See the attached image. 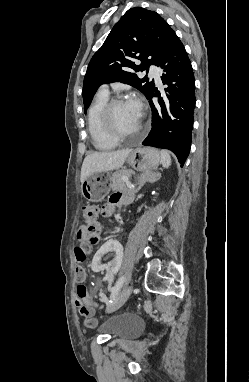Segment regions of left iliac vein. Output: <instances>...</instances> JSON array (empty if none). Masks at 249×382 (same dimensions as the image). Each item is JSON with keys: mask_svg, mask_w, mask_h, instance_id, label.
I'll use <instances>...</instances> for the list:
<instances>
[{"mask_svg": "<svg viewBox=\"0 0 249 382\" xmlns=\"http://www.w3.org/2000/svg\"><path fill=\"white\" fill-rule=\"evenodd\" d=\"M133 291L132 286H126L107 307V312H114L124 305Z\"/></svg>", "mask_w": 249, "mask_h": 382, "instance_id": "left-iliac-vein-1", "label": "left iliac vein"}]
</instances>
